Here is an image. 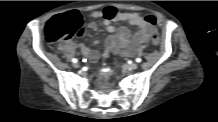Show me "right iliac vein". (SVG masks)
Segmentation results:
<instances>
[{"label": "right iliac vein", "mask_w": 218, "mask_h": 122, "mask_svg": "<svg viewBox=\"0 0 218 122\" xmlns=\"http://www.w3.org/2000/svg\"><path fill=\"white\" fill-rule=\"evenodd\" d=\"M73 66H74L75 68H79V67H80V65H79L78 63H74Z\"/></svg>", "instance_id": "1"}]
</instances>
